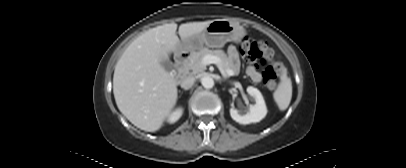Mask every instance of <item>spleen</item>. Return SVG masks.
<instances>
[{
    "label": "spleen",
    "mask_w": 406,
    "mask_h": 168,
    "mask_svg": "<svg viewBox=\"0 0 406 168\" xmlns=\"http://www.w3.org/2000/svg\"><path fill=\"white\" fill-rule=\"evenodd\" d=\"M273 98L281 111L286 110L291 102L292 82L285 69L283 70L281 81L273 93Z\"/></svg>",
    "instance_id": "spleen-1"
}]
</instances>
